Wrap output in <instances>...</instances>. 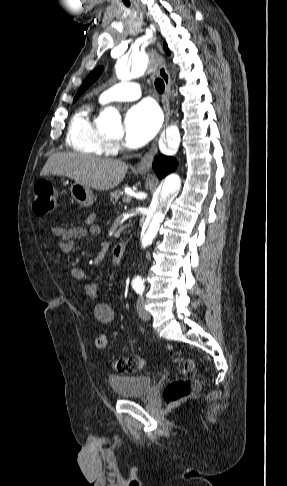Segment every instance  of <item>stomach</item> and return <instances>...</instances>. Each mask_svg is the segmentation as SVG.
<instances>
[{"mask_svg":"<svg viewBox=\"0 0 287 486\" xmlns=\"http://www.w3.org/2000/svg\"><path fill=\"white\" fill-rule=\"evenodd\" d=\"M70 192L73 199L82 206L89 207L93 204L94 197L90 187L75 182L71 185Z\"/></svg>","mask_w":287,"mask_h":486,"instance_id":"stomach-1","label":"stomach"}]
</instances>
